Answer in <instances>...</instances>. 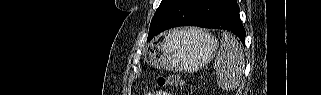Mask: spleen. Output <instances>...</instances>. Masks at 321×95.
<instances>
[{
    "label": "spleen",
    "mask_w": 321,
    "mask_h": 95,
    "mask_svg": "<svg viewBox=\"0 0 321 95\" xmlns=\"http://www.w3.org/2000/svg\"><path fill=\"white\" fill-rule=\"evenodd\" d=\"M244 63L239 41L232 34L223 32L221 47L214 62L217 84L224 90L235 89L240 82Z\"/></svg>",
    "instance_id": "obj_1"
}]
</instances>
